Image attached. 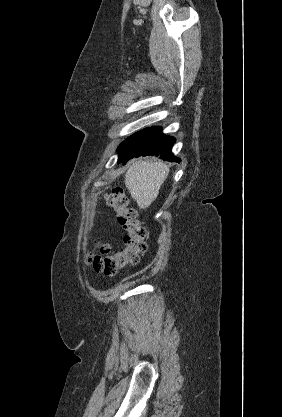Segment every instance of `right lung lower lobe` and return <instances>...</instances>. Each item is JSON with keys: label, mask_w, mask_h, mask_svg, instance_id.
<instances>
[{"label": "right lung lower lobe", "mask_w": 282, "mask_h": 417, "mask_svg": "<svg viewBox=\"0 0 282 417\" xmlns=\"http://www.w3.org/2000/svg\"><path fill=\"white\" fill-rule=\"evenodd\" d=\"M174 142V137L163 135L160 127L143 129L119 146V162L146 155L160 156L166 161L180 162V159L173 156L171 151Z\"/></svg>", "instance_id": "1"}]
</instances>
